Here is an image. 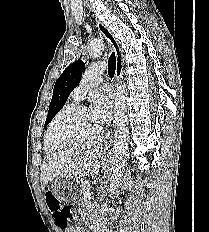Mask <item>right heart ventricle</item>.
<instances>
[{
  "mask_svg": "<svg viewBox=\"0 0 209 232\" xmlns=\"http://www.w3.org/2000/svg\"><path fill=\"white\" fill-rule=\"evenodd\" d=\"M73 106H74V102H72V101L65 104L59 110V112L55 115V117H54V119H53V121L51 123L55 122L63 112H65L67 109H69V108H71ZM44 148H45V150L47 152H54V151H56V150H58L60 148V146H56V145L51 143V141L49 139V135H48V130H47V133H46V136H45Z\"/></svg>",
  "mask_w": 209,
  "mask_h": 232,
  "instance_id": "right-heart-ventricle-1",
  "label": "right heart ventricle"
}]
</instances>
